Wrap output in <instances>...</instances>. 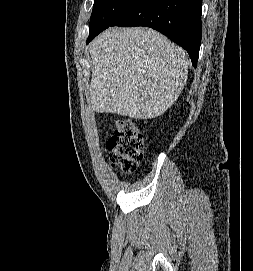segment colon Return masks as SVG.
<instances>
[{
  "label": "colon",
  "instance_id": "colon-1",
  "mask_svg": "<svg viewBox=\"0 0 253 271\" xmlns=\"http://www.w3.org/2000/svg\"><path fill=\"white\" fill-rule=\"evenodd\" d=\"M106 145L113 166L127 174L137 170L143 157L144 139L133 121H118Z\"/></svg>",
  "mask_w": 253,
  "mask_h": 271
}]
</instances>
